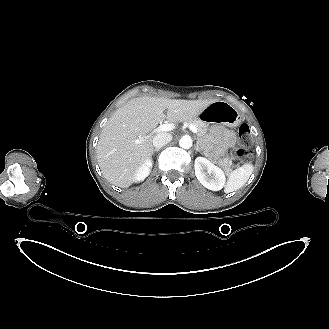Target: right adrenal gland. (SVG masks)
Instances as JSON below:
<instances>
[{
  "instance_id": "right-adrenal-gland-1",
  "label": "right adrenal gland",
  "mask_w": 329,
  "mask_h": 329,
  "mask_svg": "<svg viewBox=\"0 0 329 329\" xmlns=\"http://www.w3.org/2000/svg\"><path fill=\"white\" fill-rule=\"evenodd\" d=\"M160 148H155L152 150V154H154V152H159Z\"/></svg>"
}]
</instances>
